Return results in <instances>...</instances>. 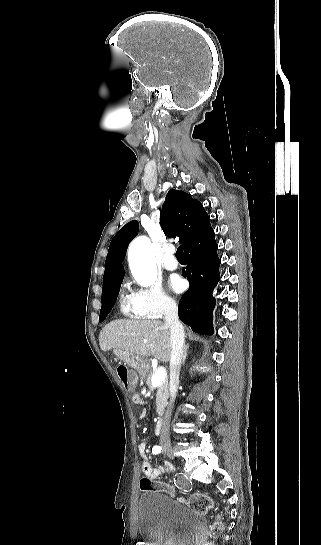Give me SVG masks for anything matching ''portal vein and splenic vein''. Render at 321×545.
<instances>
[{"label":"portal vein and splenic vein","instance_id":"obj_1","mask_svg":"<svg viewBox=\"0 0 321 545\" xmlns=\"http://www.w3.org/2000/svg\"><path fill=\"white\" fill-rule=\"evenodd\" d=\"M166 379V371L163 369V367H160V369H156L155 373H153L151 377V383L153 387H159V385H162Z\"/></svg>","mask_w":321,"mask_h":545}]
</instances>
